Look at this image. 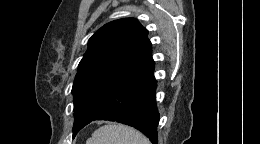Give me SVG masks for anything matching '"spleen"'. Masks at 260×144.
<instances>
[{"label":"spleen","instance_id":"3e777b00","mask_svg":"<svg viewBox=\"0 0 260 144\" xmlns=\"http://www.w3.org/2000/svg\"><path fill=\"white\" fill-rule=\"evenodd\" d=\"M86 144H150L139 131L122 124L99 127Z\"/></svg>","mask_w":260,"mask_h":144}]
</instances>
